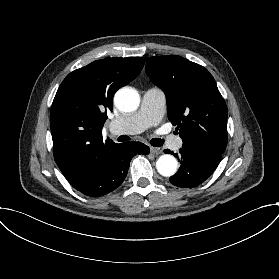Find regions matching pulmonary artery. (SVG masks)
Returning a JSON list of instances; mask_svg holds the SVG:
<instances>
[{
    "label": "pulmonary artery",
    "mask_w": 279,
    "mask_h": 279,
    "mask_svg": "<svg viewBox=\"0 0 279 279\" xmlns=\"http://www.w3.org/2000/svg\"><path fill=\"white\" fill-rule=\"evenodd\" d=\"M165 103L166 96L161 87L149 88L143 94L141 107L136 115H117L111 123L112 131L120 137L137 136L141 131L156 125L160 121L165 110ZM159 139L169 146L176 142L175 137L167 132L161 133ZM177 140L180 141L179 138Z\"/></svg>",
    "instance_id": "obj_1"
}]
</instances>
